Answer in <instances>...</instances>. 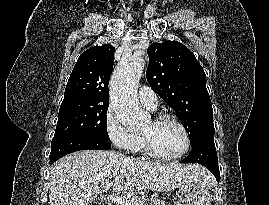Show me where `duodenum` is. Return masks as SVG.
Returning a JSON list of instances; mask_svg holds the SVG:
<instances>
[{
  "mask_svg": "<svg viewBox=\"0 0 269 205\" xmlns=\"http://www.w3.org/2000/svg\"><path fill=\"white\" fill-rule=\"evenodd\" d=\"M101 205H110L109 203H103V204H101Z\"/></svg>",
  "mask_w": 269,
  "mask_h": 205,
  "instance_id": "1",
  "label": "duodenum"
}]
</instances>
